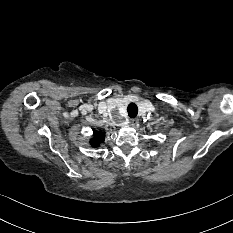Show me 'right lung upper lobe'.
Listing matches in <instances>:
<instances>
[{"mask_svg":"<svg viewBox=\"0 0 233 233\" xmlns=\"http://www.w3.org/2000/svg\"><path fill=\"white\" fill-rule=\"evenodd\" d=\"M105 139V134L101 132H96L95 133V139L91 141V144L93 146L99 145V143L103 142Z\"/></svg>","mask_w":233,"mask_h":233,"instance_id":"1","label":"right lung upper lobe"}]
</instances>
